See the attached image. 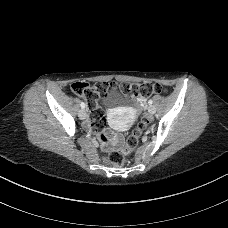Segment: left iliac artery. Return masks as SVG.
Here are the masks:
<instances>
[{
  "instance_id": "44dca946",
  "label": "left iliac artery",
  "mask_w": 228,
  "mask_h": 228,
  "mask_svg": "<svg viewBox=\"0 0 228 228\" xmlns=\"http://www.w3.org/2000/svg\"><path fill=\"white\" fill-rule=\"evenodd\" d=\"M152 103H153V100L150 99V100L148 101V104H149V105H152Z\"/></svg>"
}]
</instances>
